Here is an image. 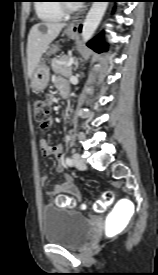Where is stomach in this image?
Returning <instances> with one entry per match:
<instances>
[{"instance_id":"obj_1","label":"stomach","mask_w":158,"mask_h":275,"mask_svg":"<svg viewBox=\"0 0 158 275\" xmlns=\"http://www.w3.org/2000/svg\"><path fill=\"white\" fill-rule=\"evenodd\" d=\"M65 33L71 39H74L76 37V32L71 31L70 29H66ZM57 51H58V47L56 45H53L52 48L47 52V55L56 53ZM48 81H49V69L45 64V61L42 60L34 69L31 77V85L33 90L35 92L43 91L47 87Z\"/></svg>"}]
</instances>
